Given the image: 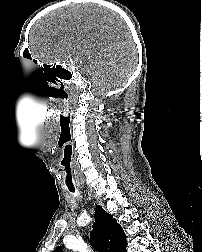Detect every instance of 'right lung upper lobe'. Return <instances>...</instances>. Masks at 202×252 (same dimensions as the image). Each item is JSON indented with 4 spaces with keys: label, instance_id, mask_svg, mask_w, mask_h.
<instances>
[{
    "label": "right lung upper lobe",
    "instance_id": "1",
    "mask_svg": "<svg viewBox=\"0 0 202 252\" xmlns=\"http://www.w3.org/2000/svg\"><path fill=\"white\" fill-rule=\"evenodd\" d=\"M91 244L100 252H124L126 250V235L113 216L101 207L95 211V222L90 233ZM54 252H63L57 247Z\"/></svg>",
    "mask_w": 202,
    "mask_h": 252
}]
</instances>
